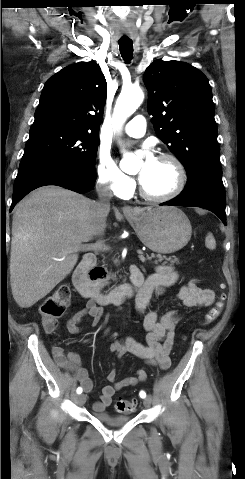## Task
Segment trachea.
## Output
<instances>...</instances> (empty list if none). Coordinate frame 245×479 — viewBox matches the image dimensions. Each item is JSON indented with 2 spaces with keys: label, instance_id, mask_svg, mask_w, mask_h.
<instances>
[{
  "label": "trachea",
  "instance_id": "obj_1",
  "mask_svg": "<svg viewBox=\"0 0 245 479\" xmlns=\"http://www.w3.org/2000/svg\"><path fill=\"white\" fill-rule=\"evenodd\" d=\"M119 49L122 58L125 62L129 63L132 59L133 55V43L131 40H120L119 42Z\"/></svg>",
  "mask_w": 245,
  "mask_h": 479
}]
</instances>
